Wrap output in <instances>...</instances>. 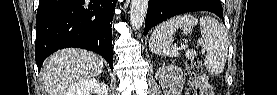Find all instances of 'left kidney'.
Segmentation results:
<instances>
[{
	"instance_id": "5707ae66",
	"label": "left kidney",
	"mask_w": 277,
	"mask_h": 95,
	"mask_svg": "<svg viewBox=\"0 0 277 95\" xmlns=\"http://www.w3.org/2000/svg\"><path fill=\"white\" fill-rule=\"evenodd\" d=\"M156 79L166 92H178L183 88L182 78L175 74L173 67L163 66L159 68L156 72Z\"/></svg>"
}]
</instances>
